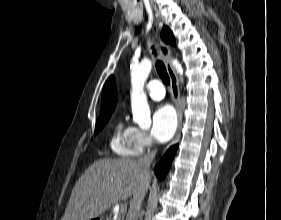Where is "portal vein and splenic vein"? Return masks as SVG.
Instances as JSON below:
<instances>
[{
  "label": "portal vein and splenic vein",
  "instance_id": "18ae733b",
  "mask_svg": "<svg viewBox=\"0 0 281 220\" xmlns=\"http://www.w3.org/2000/svg\"><path fill=\"white\" fill-rule=\"evenodd\" d=\"M126 211V207L125 206H121L120 209H119V212L120 213H123Z\"/></svg>",
  "mask_w": 281,
  "mask_h": 220
}]
</instances>
